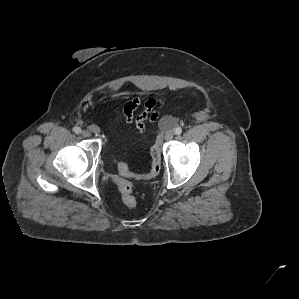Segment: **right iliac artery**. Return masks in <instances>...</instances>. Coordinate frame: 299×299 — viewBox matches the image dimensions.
<instances>
[{"label":"right iliac artery","mask_w":299,"mask_h":299,"mask_svg":"<svg viewBox=\"0 0 299 299\" xmlns=\"http://www.w3.org/2000/svg\"><path fill=\"white\" fill-rule=\"evenodd\" d=\"M73 131H74L76 134H79V133H81V128H80V127H74V128H73Z\"/></svg>","instance_id":"82829eb1"}]
</instances>
